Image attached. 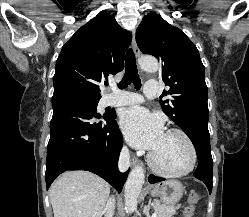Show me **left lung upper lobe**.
Returning a JSON list of instances; mask_svg holds the SVG:
<instances>
[{
	"label": "left lung upper lobe",
	"mask_w": 249,
	"mask_h": 217,
	"mask_svg": "<svg viewBox=\"0 0 249 217\" xmlns=\"http://www.w3.org/2000/svg\"><path fill=\"white\" fill-rule=\"evenodd\" d=\"M136 41L144 54L155 56L162 65V79L168 91L160 100L164 113L190 139L195 128H208V90L205 69L196 46L177 27L170 25L156 13L147 14L136 30Z\"/></svg>",
	"instance_id": "left-lung-upper-lobe-1"
}]
</instances>
